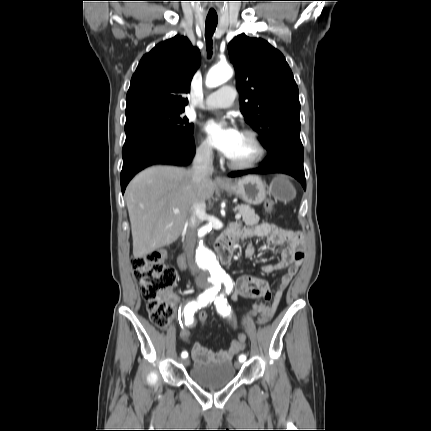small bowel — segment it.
<instances>
[{"label":"small bowel","mask_w":431,"mask_h":431,"mask_svg":"<svg viewBox=\"0 0 431 431\" xmlns=\"http://www.w3.org/2000/svg\"><path fill=\"white\" fill-rule=\"evenodd\" d=\"M234 230L240 237L267 238L269 247H283L281 258L277 263L261 267L262 271L267 274L287 269L281 277L275 292L272 291L265 280L251 274H244L235 283L232 282L230 292L232 299L237 301L240 297H244L259 300L252 305L251 310H258L257 323L265 324L273 317L285 289L303 261L302 237L298 232L280 228L267 222L247 229L234 227ZM253 253L254 249L249 246L246 251L247 257H251ZM179 267L181 270L186 268L183 262H179ZM168 298L173 305L179 303V298L175 294H169ZM245 345L246 339L243 343H238L236 339L231 342L228 349L212 351L199 343H195L191 349V357L196 365L231 361L235 355L245 348Z\"/></svg>","instance_id":"c3829d8e"}]
</instances>
